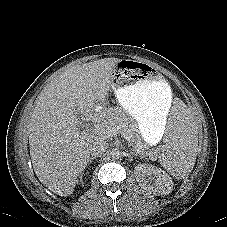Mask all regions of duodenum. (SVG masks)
<instances>
[{
    "mask_svg": "<svg viewBox=\"0 0 227 227\" xmlns=\"http://www.w3.org/2000/svg\"><path fill=\"white\" fill-rule=\"evenodd\" d=\"M103 117V112L102 111H96L91 115V120L93 122H98L102 119Z\"/></svg>",
    "mask_w": 227,
    "mask_h": 227,
    "instance_id": "1",
    "label": "duodenum"
}]
</instances>
